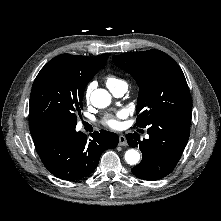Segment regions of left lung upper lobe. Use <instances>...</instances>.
I'll list each match as a JSON object with an SVG mask.
<instances>
[{"mask_svg":"<svg viewBox=\"0 0 221 221\" xmlns=\"http://www.w3.org/2000/svg\"><path fill=\"white\" fill-rule=\"evenodd\" d=\"M112 60L139 86L136 126L144 128L162 117L191 119L192 99L185 76L169 55L148 50L114 55Z\"/></svg>","mask_w":221,"mask_h":221,"instance_id":"left-lung-upper-lobe-1","label":"left lung upper lobe"}]
</instances>
